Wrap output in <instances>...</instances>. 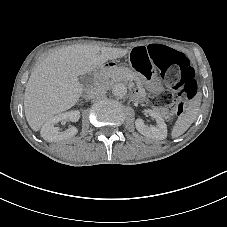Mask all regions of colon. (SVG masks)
Listing matches in <instances>:
<instances>
[{"label": "colon", "instance_id": "1", "mask_svg": "<svg viewBox=\"0 0 227 227\" xmlns=\"http://www.w3.org/2000/svg\"><path fill=\"white\" fill-rule=\"evenodd\" d=\"M149 59L146 54L133 50L130 55L132 65L143 75L149 76L154 66L158 67L166 83L174 93L165 91L150 98V103L161 109L174 108L175 114L182 112L184 100L197 95L198 85L188 58L163 45H149Z\"/></svg>", "mask_w": 227, "mask_h": 227}]
</instances>
